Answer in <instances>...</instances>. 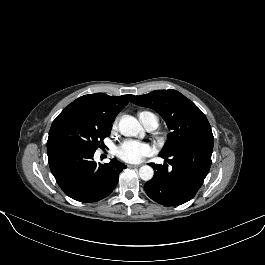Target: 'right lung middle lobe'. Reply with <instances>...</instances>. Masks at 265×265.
Here are the masks:
<instances>
[{"label": "right lung middle lobe", "mask_w": 265, "mask_h": 265, "mask_svg": "<svg viewBox=\"0 0 265 265\" xmlns=\"http://www.w3.org/2000/svg\"><path fill=\"white\" fill-rule=\"evenodd\" d=\"M111 128L112 125H102L80 117H62L52 123L47 146L67 143L95 151L110 135Z\"/></svg>", "instance_id": "obj_1"}]
</instances>
